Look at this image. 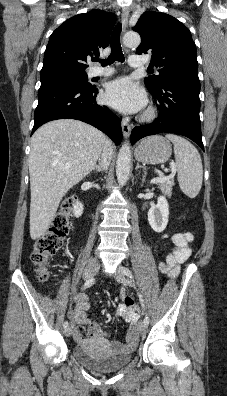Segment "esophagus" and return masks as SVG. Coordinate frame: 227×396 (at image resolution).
Wrapping results in <instances>:
<instances>
[{
    "mask_svg": "<svg viewBox=\"0 0 227 396\" xmlns=\"http://www.w3.org/2000/svg\"><path fill=\"white\" fill-rule=\"evenodd\" d=\"M121 19H122V31L125 32L127 25H128V19H129V9L128 8H124L122 10ZM121 126H122V131H123L124 137L128 138L130 136L131 126L129 125V123L126 120H122Z\"/></svg>",
    "mask_w": 227,
    "mask_h": 396,
    "instance_id": "1",
    "label": "esophagus"
}]
</instances>
